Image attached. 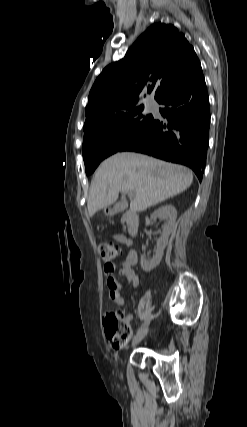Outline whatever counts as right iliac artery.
Masks as SVG:
<instances>
[{
  "mask_svg": "<svg viewBox=\"0 0 247 427\" xmlns=\"http://www.w3.org/2000/svg\"><path fill=\"white\" fill-rule=\"evenodd\" d=\"M147 324L148 322L147 320H145L144 323L141 325V327L138 329L137 333L140 332Z\"/></svg>",
  "mask_w": 247,
  "mask_h": 427,
  "instance_id": "82829eb1",
  "label": "right iliac artery"
}]
</instances>
